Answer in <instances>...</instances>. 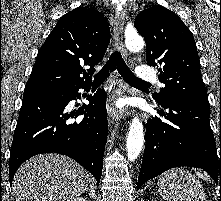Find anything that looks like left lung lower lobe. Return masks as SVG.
Wrapping results in <instances>:
<instances>
[{
    "label": "left lung lower lobe",
    "instance_id": "1",
    "mask_svg": "<svg viewBox=\"0 0 221 201\" xmlns=\"http://www.w3.org/2000/svg\"><path fill=\"white\" fill-rule=\"evenodd\" d=\"M153 100L158 106V114L166 121L155 118L147 123L137 189L162 172L180 166L201 168L216 183L220 179L221 184V150L219 157L209 122V103L186 100L159 103Z\"/></svg>",
    "mask_w": 221,
    "mask_h": 201
}]
</instances>
